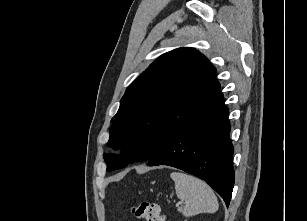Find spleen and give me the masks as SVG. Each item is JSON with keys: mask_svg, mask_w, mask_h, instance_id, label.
I'll return each instance as SVG.
<instances>
[{"mask_svg": "<svg viewBox=\"0 0 307 221\" xmlns=\"http://www.w3.org/2000/svg\"><path fill=\"white\" fill-rule=\"evenodd\" d=\"M170 177L175 182L177 197L185 201L182 210L184 216H194L200 213L213 214L218 210L217 197L205 182L181 172H172Z\"/></svg>", "mask_w": 307, "mask_h": 221, "instance_id": "spleen-1", "label": "spleen"}]
</instances>
